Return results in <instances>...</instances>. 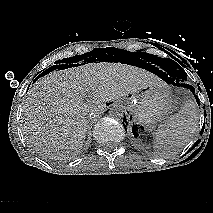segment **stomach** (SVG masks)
Masks as SVG:
<instances>
[{
  "label": "stomach",
  "mask_w": 213,
  "mask_h": 213,
  "mask_svg": "<svg viewBox=\"0 0 213 213\" xmlns=\"http://www.w3.org/2000/svg\"><path fill=\"white\" fill-rule=\"evenodd\" d=\"M136 123L154 128L175 108L170 91L154 85L130 94L125 99Z\"/></svg>",
  "instance_id": "stomach-1"
}]
</instances>
